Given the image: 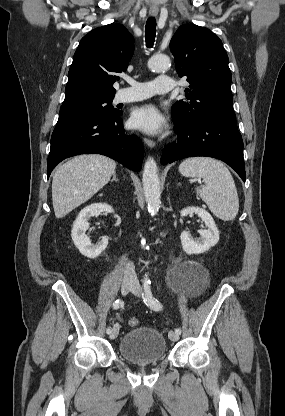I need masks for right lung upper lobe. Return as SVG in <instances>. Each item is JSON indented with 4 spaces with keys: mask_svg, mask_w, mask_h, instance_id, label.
<instances>
[{
    "mask_svg": "<svg viewBox=\"0 0 285 416\" xmlns=\"http://www.w3.org/2000/svg\"><path fill=\"white\" fill-rule=\"evenodd\" d=\"M133 53L134 38L123 25L90 31L74 54L65 100L114 98L113 84L127 69Z\"/></svg>",
    "mask_w": 285,
    "mask_h": 416,
    "instance_id": "cb5924a9",
    "label": "right lung upper lobe"
}]
</instances>
